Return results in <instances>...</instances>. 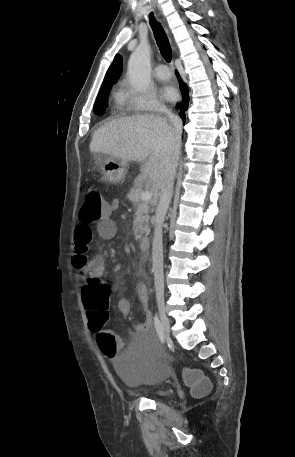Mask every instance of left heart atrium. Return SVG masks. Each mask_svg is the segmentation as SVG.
<instances>
[{
	"label": "left heart atrium",
	"mask_w": 295,
	"mask_h": 457,
	"mask_svg": "<svg viewBox=\"0 0 295 457\" xmlns=\"http://www.w3.org/2000/svg\"><path fill=\"white\" fill-rule=\"evenodd\" d=\"M162 96L166 100H173L176 97V92L171 86H166L162 91Z\"/></svg>",
	"instance_id": "39dd6f15"
}]
</instances>
